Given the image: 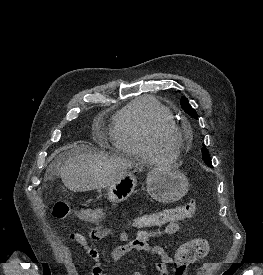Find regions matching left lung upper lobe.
Listing matches in <instances>:
<instances>
[{"instance_id": "1", "label": "left lung upper lobe", "mask_w": 263, "mask_h": 275, "mask_svg": "<svg viewBox=\"0 0 263 275\" xmlns=\"http://www.w3.org/2000/svg\"><path fill=\"white\" fill-rule=\"evenodd\" d=\"M181 106L184 109V111L186 113H188L191 117L198 119L197 113L195 112V110L190 106V104L188 103V100L186 97H182L181 99ZM202 159L204 160V162L209 166L212 167V162L210 160V157L208 155V151L205 147V145L202 148Z\"/></svg>"}]
</instances>
